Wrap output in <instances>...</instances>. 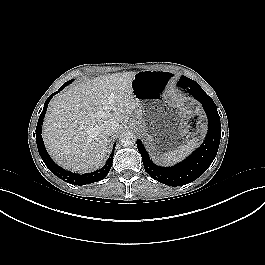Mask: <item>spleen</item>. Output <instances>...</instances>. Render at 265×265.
Returning a JSON list of instances; mask_svg holds the SVG:
<instances>
[{
    "label": "spleen",
    "mask_w": 265,
    "mask_h": 265,
    "mask_svg": "<svg viewBox=\"0 0 265 265\" xmlns=\"http://www.w3.org/2000/svg\"><path fill=\"white\" fill-rule=\"evenodd\" d=\"M198 146V142L196 139H192L188 141L186 144L180 145L177 149L170 151L168 153H164L160 156V160L164 164H173L182 160L185 156H187L192 150H194Z\"/></svg>",
    "instance_id": "spleen-1"
}]
</instances>
